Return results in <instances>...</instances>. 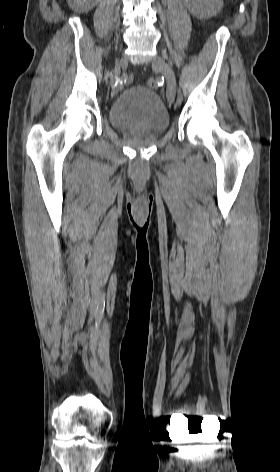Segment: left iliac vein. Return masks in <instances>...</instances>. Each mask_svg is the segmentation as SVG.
Instances as JSON below:
<instances>
[{
	"label": "left iliac vein",
	"instance_id": "1",
	"mask_svg": "<svg viewBox=\"0 0 280 472\" xmlns=\"http://www.w3.org/2000/svg\"><path fill=\"white\" fill-rule=\"evenodd\" d=\"M153 67L158 69L165 77L167 82V99L172 104L176 95V79L172 68L159 56L153 60Z\"/></svg>",
	"mask_w": 280,
	"mask_h": 472
}]
</instances>
